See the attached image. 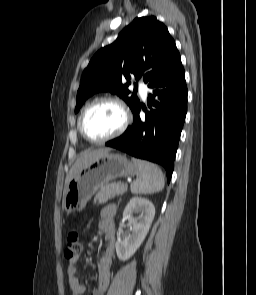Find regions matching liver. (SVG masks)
Instances as JSON below:
<instances>
[{
	"label": "liver",
	"mask_w": 256,
	"mask_h": 295,
	"mask_svg": "<svg viewBox=\"0 0 256 295\" xmlns=\"http://www.w3.org/2000/svg\"><path fill=\"white\" fill-rule=\"evenodd\" d=\"M109 151V148H100L96 150H86L82 152L66 176L65 188H67L68 184L74 178V176L77 174L79 170H81L88 163L92 162L93 160H96L103 154L108 153Z\"/></svg>",
	"instance_id": "liver-1"
}]
</instances>
